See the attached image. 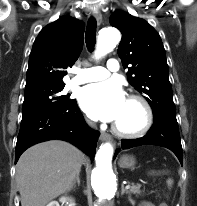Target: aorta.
I'll return each mask as SVG.
<instances>
[{
    "label": "aorta",
    "instance_id": "aorta-1",
    "mask_svg": "<svg viewBox=\"0 0 197 206\" xmlns=\"http://www.w3.org/2000/svg\"><path fill=\"white\" fill-rule=\"evenodd\" d=\"M120 32L113 27L103 29L98 36L95 57L100 58L111 52L120 41ZM113 147L110 143L102 144L96 153V167L92 171V187L100 203L114 197L117 183L112 171Z\"/></svg>",
    "mask_w": 197,
    "mask_h": 206
}]
</instances>
